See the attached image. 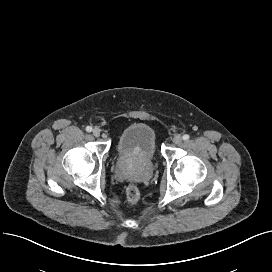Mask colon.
Segmentation results:
<instances>
[{
	"label": "colon",
	"instance_id": "colon-1",
	"mask_svg": "<svg viewBox=\"0 0 272 272\" xmlns=\"http://www.w3.org/2000/svg\"><path fill=\"white\" fill-rule=\"evenodd\" d=\"M140 190L136 185H129L126 188V199L130 205H136L140 200Z\"/></svg>",
	"mask_w": 272,
	"mask_h": 272
}]
</instances>
